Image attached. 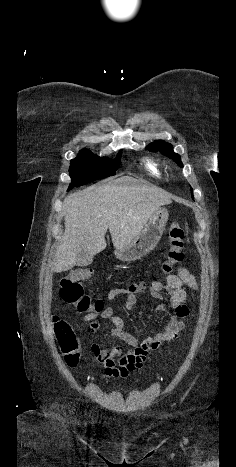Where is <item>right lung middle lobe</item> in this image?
<instances>
[{
	"label": "right lung middle lobe",
	"mask_w": 236,
	"mask_h": 467,
	"mask_svg": "<svg viewBox=\"0 0 236 467\" xmlns=\"http://www.w3.org/2000/svg\"><path fill=\"white\" fill-rule=\"evenodd\" d=\"M121 155L122 152L120 151L114 160H110L98 157L87 149L81 150L79 155L70 162L69 175L72 183L68 190L90 181L115 175L120 165Z\"/></svg>",
	"instance_id": "right-lung-middle-lobe-1"
}]
</instances>
